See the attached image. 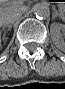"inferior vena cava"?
Segmentation results:
<instances>
[{"label":"inferior vena cava","instance_id":"602c4592","mask_svg":"<svg viewBox=\"0 0 65 89\" xmlns=\"http://www.w3.org/2000/svg\"><path fill=\"white\" fill-rule=\"evenodd\" d=\"M22 16V13H17L14 14L13 16L5 19L3 16L0 18V24L2 25H8V24H12L15 21H17L20 17Z\"/></svg>","mask_w":65,"mask_h":89}]
</instances>
